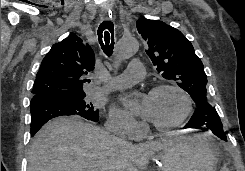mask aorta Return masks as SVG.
I'll return each instance as SVG.
<instances>
[{
    "label": "aorta",
    "mask_w": 245,
    "mask_h": 171,
    "mask_svg": "<svg viewBox=\"0 0 245 171\" xmlns=\"http://www.w3.org/2000/svg\"><path fill=\"white\" fill-rule=\"evenodd\" d=\"M139 43L134 37H122L118 40L115 48V61L123 62L136 54Z\"/></svg>",
    "instance_id": "1"
}]
</instances>
